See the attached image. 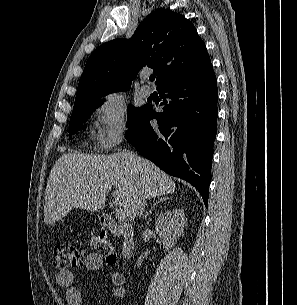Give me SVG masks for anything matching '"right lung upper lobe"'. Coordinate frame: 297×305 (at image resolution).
<instances>
[{"mask_svg":"<svg viewBox=\"0 0 297 305\" xmlns=\"http://www.w3.org/2000/svg\"><path fill=\"white\" fill-rule=\"evenodd\" d=\"M210 65L206 46L194 25L183 15L160 8L140 23L129 40L106 42L90 55L75 102L128 90L143 67L154 70L159 87L195 75Z\"/></svg>","mask_w":297,"mask_h":305,"instance_id":"right-lung-upper-lobe-1","label":"right lung upper lobe"}]
</instances>
